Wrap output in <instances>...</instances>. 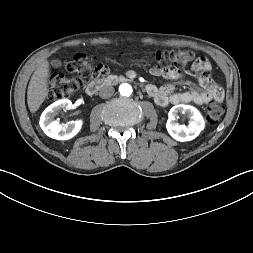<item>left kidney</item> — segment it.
Listing matches in <instances>:
<instances>
[{
  "mask_svg": "<svg viewBox=\"0 0 253 253\" xmlns=\"http://www.w3.org/2000/svg\"><path fill=\"white\" fill-rule=\"evenodd\" d=\"M179 114H186L190 119L189 125H180L176 122ZM205 127L201 113L191 105L179 104L173 106L168 114L166 128L168 133L177 141L185 142L195 139Z\"/></svg>",
  "mask_w": 253,
  "mask_h": 253,
  "instance_id": "1",
  "label": "left kidney"
}]
</instances>
